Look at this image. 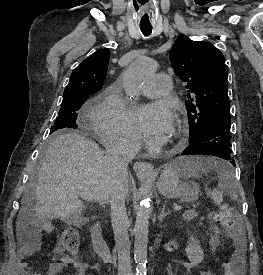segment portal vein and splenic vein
Listing matches in <instances>:
<instances>
[{
    "label": "portal vein and splenic vein",
    "instance_id": "obj_1",
    "mask_svg": "<svg viewBox=\"0 0 263 275\" xmlns=\"http://www.w3.org/2000/svg\"><path fill=\"white\" fill-rule=\"evenodd\" d=\"M79 195H80L83 199H85V200H87V201H89V202L93 201V198H92L91 196L87 195V194L84 193V192H79ZM181 209H182L181 206H175V207H174V210H175V211H179V210H181Z\"/></svg>",
    "mask_w": 263,
    "mask_h": 275
}]
</instances>
